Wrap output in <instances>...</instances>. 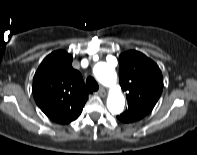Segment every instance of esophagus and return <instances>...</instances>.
<instances>
[{
    "label": "esophagus",
    "mask_w": 197,
    "mask_h": 155,
    "mask_svg": "<svg viewBox=\"0 0 197 155\" xmlns=\"http://www.w3.org/2000/svg\"><path fill=\"white\" fill-rule=\"evenodd\" d=\"M98 94L101 96V97H106L107 95V92L105 90V88L101 87L98 91Z\"/></svg>",
    "instance_id": "esophagus-1"
}]
</instances>
